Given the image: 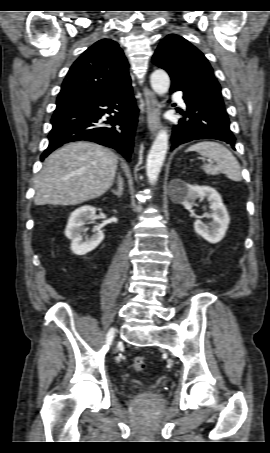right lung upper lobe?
I'll use <instances>...</instances> for the list:
<instances>
[{
    "mask_svg": "<svg viewBox=\"0 0 270 453\" xmlns=\"http://www.w3.org/2000/svg\"><path fill=\"white\" fill-rule=\"evenodd\" d=\"M129 65L119 45L102 39L89 47L71 66L57 104L96 99L130 83Z\"/></svg>",
    "mask_w": 270,
    "mask_h": 453,
    "instance_id": "obj_1",
    "label": "right lung upper lobe"
}]
</instances>
